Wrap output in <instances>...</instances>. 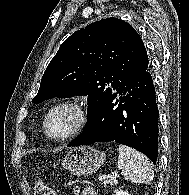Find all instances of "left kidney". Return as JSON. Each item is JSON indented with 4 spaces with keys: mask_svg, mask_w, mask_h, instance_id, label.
I'll list each match as a JSON object with an SVG mask.
<instances>
[{
    "mask_svg": "<svg viewBox=\"0 0 189 195\" xmlns=\"http://www.w3.org/2000/svg\"><path fill=\"white\" fill-rule=\"evenodd\" d=\"M113 195H131L126 191H122V190H116L115 194Z\"/></svg>",
    "mask_w": 189,
    "mask_h": 195,
    "instance_id": "5707ae66",
    "label": "left kidney"
}]
</instances>
